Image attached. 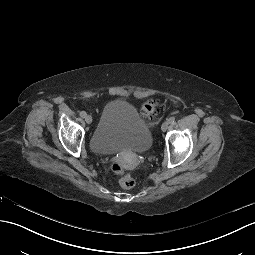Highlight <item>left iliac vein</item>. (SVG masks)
Instances as JSON below:
<instances>
[{
  "mask_svg": "<svg viewBox=\"0 0 255 255\" xmlns=\"http://www.w3.org/2000/svg\"><path fill=\"white\" fill-rule=\"evenodd\" d=\"M168 125H169L168 121H165V122L162 123L161 129H162L163 132H165L168 129Z\"/></svg>",
  "mask_w": 255,
  "mask_h": 255,
  "instance_id": "4c4485c4",
  "label": "left iliac vein"
}]
</instances>
